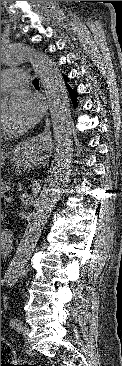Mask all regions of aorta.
I'll return each instance as SVG.
<instances>
[{
    "mask_svg": "<svg viewBox=\"0 0 122 366\" xmlns=\"http://www.w3.org/2000/svg\"><path fill=\"white\" fill-rule=\"evenodd\" d=\"M30 63L41 78L50 105L52 129L56 140L54 164L34 204L24 235L18 245L12 265L15 276L35 248L47 220L66 189L72 174V116L67 89L55 63L42 51L27 43L1 46V65L7 67ZM4 101L1 100V104Z\"/></svg>",
    "mask_w": 122,
    "mask_h": 366,
    "instance_id": "1",
    "label": "aorta"
}]
</instances>
